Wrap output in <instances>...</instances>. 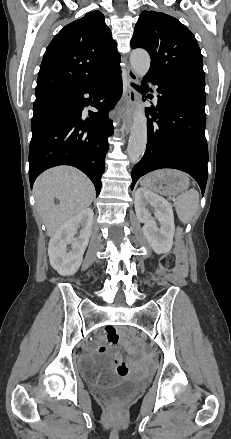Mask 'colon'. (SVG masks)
<instances>
[{"instance_id": "1", "label": "colon", "mask_w": 231, "mask_h": 439, "mask_svg": "<svg viewBox=\"0 0 231 439\" xmlns=\"http://www.w3.org/2000/svg\"><path fill=\"white\" fill-rule=\"evenodd\" d=\"M182 241H183V231L182 229H178L175 236V243H176L175 250L172 253L165 255L161 259L160 267L162 273L167 271H173V270L179 273H183L185 271L186 255L182 246ZM127 333L132 338L136 337V332L133 329L128 330ZM127 371L128 368L125 364H122L117 368V374L119 375H124L127 373ZM106 380L108 379H105L103 381Z\"/></svg>"}]
</instances>
